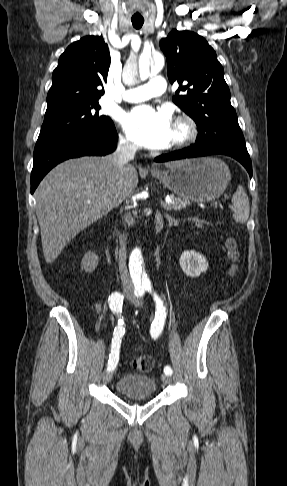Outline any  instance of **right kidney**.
Segmentation results:
<instances>
[{"label": "right kidney", "instance_id": "ca27d5eb", "mask_svg": "<svg viewBox=\"0 0 287 486\" xmlns=\"http://www.w3.org/2000/svg\"><path fill=\"white\" fill-rule=\"evenodd\" d=\"M99 262L98 256L94 252H87L81 262V267L86 271V272H93Z\"/></svg>", "mask_w": 287, "mask_h": 486}]
</instances>
